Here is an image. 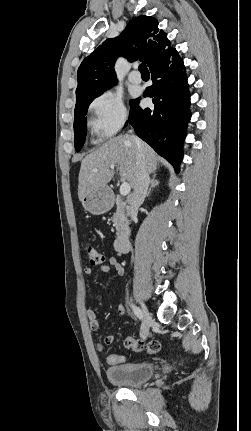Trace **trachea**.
I'll list each match as a JSON object with an SVG mask.
<instances>
[{"label": "trachea", "instance_id": "1", "mask_svg": "<svg viewBox=\"0 0 251 431\" xmlns=\"http://www.w3.org/2000/svg\"><path fill=\"white\" fill-rule=\"evenodd\" d=\"M139 71L141 72V74L149 73L147 66L144 63L139 65Z\"/></svg>", "mask_w": 251, "mask_h": 431}]
</instances>
